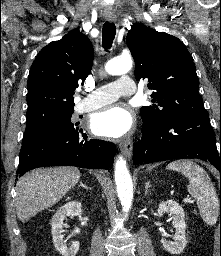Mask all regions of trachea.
I'll return each instance as SVG.
<instances>
[{
  "mask_svg": "<svg viewBox=\"0 0 221 256\" xmlns=\"http://www.w3.org/2000/svg\"><path fill=\"white\" fill-rule=\"evenodd\" d=\"M116 35V26L114 23L105 22L102 30L103 48L108 50L112 47L113 40Z\"/></svg>",
  "mask_w": 221,
  "mask_h": 256,
  "instance_id": "trachea-1",
  "label": "trachea"
}]
</instances>
